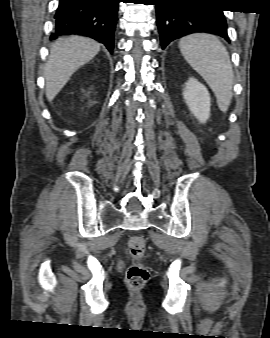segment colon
I'll return each instance as SVG.
<instances>
[{"mask_svg":"<svg viewBox=\"0 0 270 338\" xmlns=\"http://www.w3.org/2000/svg\"><path fill=\"white\" fill-rule=\"evenodd\" d=\"M145 250L146 242L143 236L134 235L129 238L130 264L126 271L125 280L127 286L134 290L142 289L149 280V270L142 262Z\"/></svg>","mask_w":270,"mask_h":338,"instance_id":"1","label":"colon"}]
</instances>
